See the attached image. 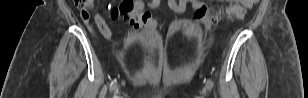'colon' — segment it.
<instances>
[{"label": "colon", "mask_w": 308, "mask_h": 98, "mask_svg": "<svg viewBox=\"0 0 308 98\" xmlns=\"http://www.w3.org/2000/svg\"><path fill=\"white\" fill-rule=\"evenodd\" d=\"M131 1V0H125ZM259 0H235L230 1L223 9L215 10L208 6H203L195 10L193 21L202 22L204 28H210L218 23L223 17L230 19H241L245 16L246 8L253 7ZM75 5L80 11L83 19L87 20L90 15L92 0H75ZM123 16L124 21L130 27L134 26L136 31H154L156 26L151 24V16L154 15L153 9H131L129 4L124 2L111 12V16ZM110 35L106 36L109 37Z\"/></svg>", "instance_id": "5ec220e1"}]
</instances>
